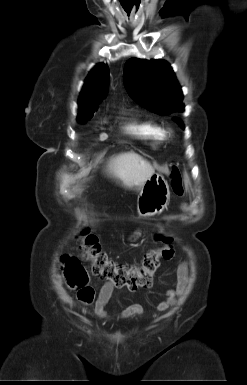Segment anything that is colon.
<instances>
[{"instance_id":"obj_1","label":"colon","mask_w":247,"mask_h":385,"mask_svg":"<svg viewBox=\"0 0 247 385\" xmlns=\"http://www.w3.org/2000/svg\"><path fill=\"white\" fill-rule=\"evenodd\" d=\"M170 179L173 192L182 195L183 182L177 168L171 170ZM158 239L162 245L148 251L141 263L134 266L121 264L109 258L102 250L97 238L86 232L80 235V246L83 251V258L91 263L94 275L116 287H126L135 291L150 287L153 275L161 261L171 260L174 256L171 238L161 236ZM62 271L68 287L76 292L78 300L83 304H92L95 291L90 285L89 275L81 262L76 257L63 255Z\"/></svg>"}]
</instances>
